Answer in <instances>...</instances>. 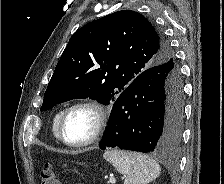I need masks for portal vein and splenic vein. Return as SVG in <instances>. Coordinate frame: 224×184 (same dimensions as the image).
I'll list each match as a JSON object with an SVG mask.
<instances>
[{
	"mask_svg": "<svg viewBox=\"0 0 224 184\" xmlns=\"http://www.w3.org/2000/svg\"><path fill=\"white\" fill-rule=\"evenodd\" d=\"M109 182H110L111 184H115L116 180H115V178L111 177V178L109 179Z\"/></svg>",
	"mask_w": 224,
	"mask_h": 184,
	"instance_id": "18ae733b",
	"label": "portal vein and splenic vein"
}]
</instances>
